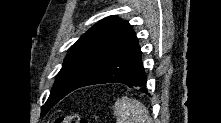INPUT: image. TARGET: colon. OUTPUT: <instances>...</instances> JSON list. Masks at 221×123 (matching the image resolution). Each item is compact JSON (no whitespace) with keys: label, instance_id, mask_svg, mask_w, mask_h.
<instances>
[{"label":"colon","instance_id":"1","mask_svg":"<svg viewBox=\"0 0 221 123\" xmlns=\"http://www.w3.org/2000/svg\"><path fill=\"white\" fill-rule=\"evenodd\" d=\"M55 123H89V121L79 114H68L58 116Z\"/></svg>","mask_w":221,"mask_h":123}]
</instances>
